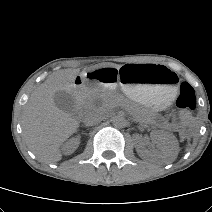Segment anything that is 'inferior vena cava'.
Here are the masks:
<instances>
[{
  "instance_id": "602c4592",
  "label": "inferior vena cava",
  "mask_w": 212,
  "mask_h": 212,
  "mask_svg": "<svg viewBox=\"0 0 212 212\" xmlns=\"http://www.w3.org/2000/svg\"><path fill=\"white\" fill-rule=\"evenodd\" d=\"M103 120L102 115L97 110H91L83 117V122L86 126H93Z\"/></svg>"
}]
</instances>
